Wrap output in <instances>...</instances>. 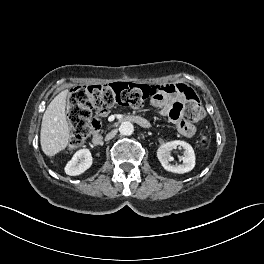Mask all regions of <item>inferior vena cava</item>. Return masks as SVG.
I'll list each match as a JSON object with an SVG mask.
<instances>
[{
	"label": "inferior vena cava",
	"instance_id": "602c4592",
	"mask_svg": "<svg viewBox=\"0 0 264 264\" xmlns=\"http://www.w3.org/2000/svg\"><path fill=\"white\" fill-rule=\"evenodd\" d=\"M116 133H117V130H113V131L109 132L105 137V141H108V140H111L112 138H114Z\"/></svg>",
	"mask_w": 264,
	"mask_h": 264
}]
</instances>
